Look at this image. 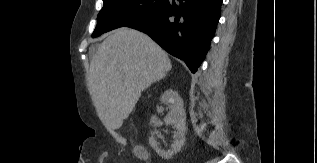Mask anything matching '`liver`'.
<instances>
[{
    "label": "liver",
    "instance_id": "6515ba94",
    "mask_svg": "<svg viewBox=\"0 0 317 163\" xmlns=\"http://www.w3.org/2000/svg\"><path fill=\"white\" fill-rule=\"evenodd\" d=\"M172 68L167 53L146 34L118 28L98 46L90 62L89 92L108 130L119 129L141 92Z\"/></svg>",
    "mask_w": 317,
    "mask_h": 163
}]
</instances>
